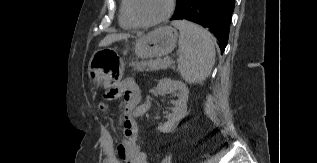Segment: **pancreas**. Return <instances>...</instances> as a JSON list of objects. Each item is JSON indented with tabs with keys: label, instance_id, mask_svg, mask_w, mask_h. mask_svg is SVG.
<instances>
[{
	"label": "pancreas",
	"instance_id": "1",
	"mask_svg": "<svg viewBox=\"0 0 317 163\" xmlns=\"http://www.w3.org/2000/svg\"><path fill=\"white\" fill-rule=\"evenodd\" d=\"M169 59H160L157 58L155 60H145V61H134L130 63L129 66L133 67L134 70L137 71H153L166 69L170 67L171 63L168 61Z\"/></svg>",
	"mask_w": 317,
	"mask_h": 163
}]
</instances>
